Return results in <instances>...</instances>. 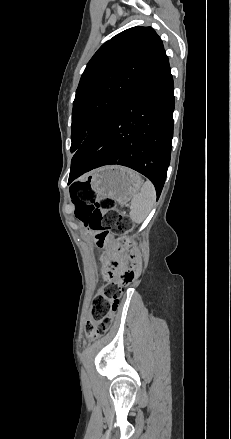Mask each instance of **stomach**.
I'll list each match as a JSON object with an SVG mask.
<instances>
[{
  "label": "stomach",
  "mask_w": 231,
  "mask_h": 439,
  "mask_svg": "<svg viewBox=\"0 0 231 439\" xmlns=\"http://www.w3.org/2000/svg\"><path fill=\"white\" fill-rule=\"evenodd\" d=\"M89 186L101 198L126 204L140 189L142 179L136 172L121 166H106L92 173Z\"/></svg>",
  "instance_id": "stomach-1"
}]
</instances>
